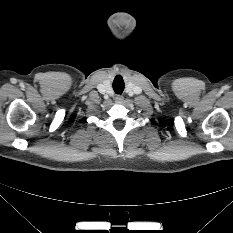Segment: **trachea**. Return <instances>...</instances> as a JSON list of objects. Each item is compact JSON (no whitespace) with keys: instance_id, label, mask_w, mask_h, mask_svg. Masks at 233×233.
I'll return each mask as SVG.
<instances>
[{"instance_id":"3493384b","label":"trachea","mask_w":233,"mask_h":233,"mask_svg":"<svg viewBox=\"0 0 233 233\" xmlns=\"http://www.w3.org/2000/svg\"><path fill=\"white\" fill-rule=\"evenodd\" d=\"M124 87H125V85H124V81H123L122 77L121 76L116 77L114 82H113V89H114L115 93L122 94Z\"/></svg>"}]
</instances>
